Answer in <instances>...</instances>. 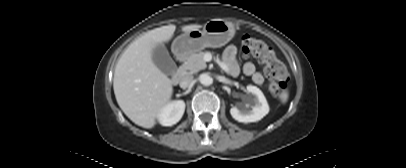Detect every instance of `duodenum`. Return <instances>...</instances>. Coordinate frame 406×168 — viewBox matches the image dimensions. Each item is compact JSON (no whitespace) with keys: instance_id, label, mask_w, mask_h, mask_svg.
Returning a JSON list of instances; mask_svg holds the SVG:
<instances>
[{"instance_id":"duodenum-1","label":"duodenum","mask_w":406,"mask_h":168,"mask_svg":"<svg viewBox=\"0 0 406 168\" xmlns=\"http://www.w3.org/2000/svg\"><path fill=\"white\" fill-rule=\"evenodd\" d=\"M181 76H182V71L180 69H178V70H176L175 72L172 73L171 81L173 83H178L180 81Z\"/></svg>"}]
</instances>
